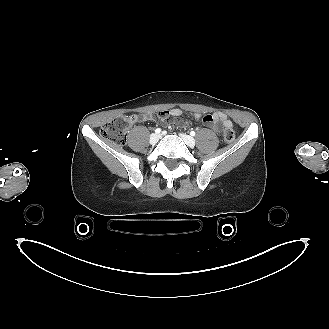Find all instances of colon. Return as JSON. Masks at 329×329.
<instances>
[{"mask_svg": "<svg viewBox=\"0 0 329 329\" xmlns=\"http://www.w3.org/2000/svg\"><path fill=\"white\" fill-rule=\"evenodd\" d=\"M133 121L131 116H121L112 119L105 123L100 130L101 136L117 145H124L126 143L127 126ZM235 131L226 129L223 133V138L230 143L235 139Z\"/></svg>", "mask_w": 329, "mask_h": 329, "instance_id": "5ec220e1", "label": "colon"}]
</instances>
